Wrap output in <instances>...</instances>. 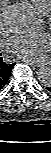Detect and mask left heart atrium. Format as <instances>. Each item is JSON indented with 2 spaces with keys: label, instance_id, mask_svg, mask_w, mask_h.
<instances>
[{
  "label": "left heart atrium",
  "instance_id": "left-heart-atrium-1",
  "mask_svg": "<svg viewBox=\"0 0 51 153\" xmlns=\"http://www.w3.org/2000/svg\"><path fill=\"white\" fill-rule=\"evenodd\" d=\"M50 45L51 39L47 33L15 36L7 42L13 55L28 61L41 59Z\"/></svg>",
  "mask_w": 51,
  "mask_h": 153
}]
</instances>
